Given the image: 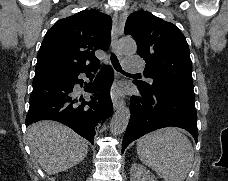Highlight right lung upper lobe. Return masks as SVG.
Segmentation results:
<instances>
[{
    "mask_svg": "<svg viewBox=\"0 0 228 181\" xmlns=\"http://www.w3.org/2000/svg\"><path fill=\"white\" fill-rule=\"evenodd\" d=\"M111 27L110 16L96 10H83L56 22L41 44L34 79L94 67L95 51L109 47Z\"/></svg>",
    "mask_w": 228,
    "mask_h": 181,
    "instance_id": "cb5924a9",
    "label": "right lung upper lobe"
}]
</instances>
